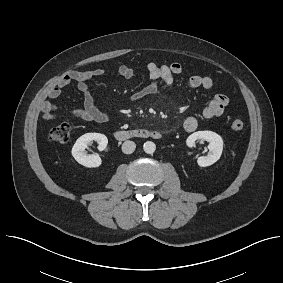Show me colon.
Segmentation results:
<instances>
[{"instance_id":"5ec220e1","label":"colon","mask_w":283,"mask_h":283,"mask_svg":"<svg viewBox=\"0 0 283 283\" xmlns=\"http://www.w3.org/2000/svg\"><path fill=\"white\" fill-rule=\"evenodd\" d=\"M244 121L241 119H234L232 121V129L240 131L244 128ZM72 132V127L69 123L63 122L54 126L48 134V138L53 143L63 144L69 141Z\"/></svg>"}]
</instances>
